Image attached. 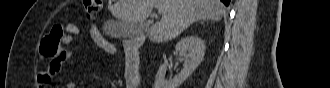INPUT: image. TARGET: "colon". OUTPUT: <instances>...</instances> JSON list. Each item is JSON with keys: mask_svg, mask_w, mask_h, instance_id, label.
<instances>
[{"mask_svg": "<svg viewBox=\"0 0 330 88\" xmlns=\"http://www.w3.org/2000/svg\"><path fill=\"white\" fill-rule=\"evenodd\" d=\"M101 2L98 0H85L83 3V11L89 20H93L100 11ZM66 32L63 25L54 26L50 32L43 38L41 51L53 59L52 64L62 51L61 40ZM91 36L94 43L105 50H114L113 45L106 41L92 26Z\"/></svg>", "mask_w": 330, "mask_h": 88, "instance_id": "1", "label": "colon"}]
</instances>
